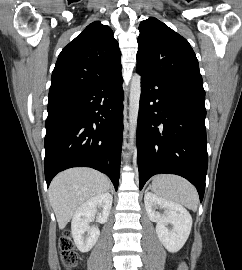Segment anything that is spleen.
I'll use <instances>...</instances> for the list:
<instances>
[{"label":"spleen","mask_w":242,"mask_h":270,"mask_svg":"<svg viewBox=\"0 0 242 270\" xmlns=\"http://www.w3.org/2000/svg\"><path fill=\"white\" fill-rule=\"evenodd\" d=\"M153 191L161 198L197 210L199 197L195 187L176 175H157L153 178Z\"/></svg>","instance_id":"3e777b00"}]
</instances>
